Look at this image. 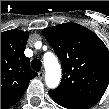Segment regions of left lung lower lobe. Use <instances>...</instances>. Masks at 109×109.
Masks as SVG:
<instances>
[{
    "label": "left lung lower lobe",
    "instance_id": "0a47b994",
    "mask_svg": "<svg viewBox=\"0 0 109 109\" xmlns=\"http://www.w3.org/2000/svg\"><path fill=\"white\" fill-rule=\"evenodd\" d=\"M49 95L57 104L67 109H88L92 107L88 103L82 102L55 90H50Z\"/></svg>",
    "mask_w": 109,
    "mask_h": 109
}]
</instances>
